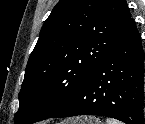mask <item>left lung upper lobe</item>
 Returning <instances> with one entry per match:
<instances>
[{
    "instance_id": "left-lung-upper-lobe-1",
    "label": "left lung upper lobe",
    "mask_w": 145,
    "mask_h": 124,
    "mask_svg": "<svg viewBox=\"0 0 145 124\" xmlns=\"http://www.w3.org/2000/svg\"><path fill=\"white\" fill-rule=\"evenodd\" d=\"M131 20L125 0H60L29 57L15 124L45 120L69 103Z\"/></svg>"
}]
</instances>
